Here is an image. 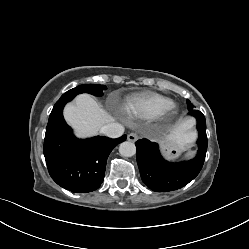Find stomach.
I'll list each match as a JSON object with an SVG mask.
<instances>
[{"label": "stomach", "instance_id": "1", "mask_svg": "<svg viewBox=\"0 0 249 249\" xmlns=\"http://www.w3.org/2000/svg\"><path fill=\"white\" fill-rule=\"evenodd\" d=\"M164 155L171 160L177 159L185 149V144L176 137H168L161 141Z\"/></svg>", "mask_w": 249, "mask_h": 249}]
</instances>
